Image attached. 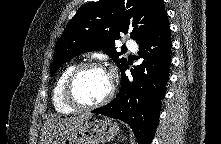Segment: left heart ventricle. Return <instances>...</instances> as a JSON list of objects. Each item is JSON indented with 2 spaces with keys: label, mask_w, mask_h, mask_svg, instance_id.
Segmentation results:
<instances>
[{
  "label": "left heart ventricle",
  "mask_w": 221,
  "mask_h": 144,
  "mask_svg": "<svg viewBox=\"0 0 221 144\" xmlns=\"http://www.w3.org/2000/svg\"><path fill=\"white\" fill-rule=\"evenodd\" d=\"M111 81L106 71L88 69L75 83V95L83 103L91 104L101 100L109 91Z\"/></svg>",
  "instance_id": "1"
}]
</instances>
